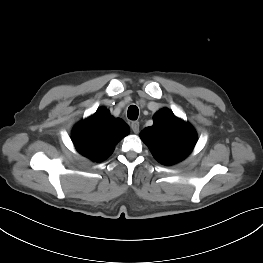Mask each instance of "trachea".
Returning <instances> with one entry per match:
<instances>
[{
	"label": "trachea",
	"mask_w": 263,
	"mask_h": 263,
	"mask_svg": "<svg viewBox=\"0 0 263 263\" xmlns=\"http://www.w3.org/2000/svg\"><path fill=\"white\" fill-rule=\"evenodd\" d=\"M128 118L130 120H136L138 118L139 110L138 107L135 105H131L128 108Z\"/></svg>",
	"instance_id": "3493384b"
}]
</instances>
